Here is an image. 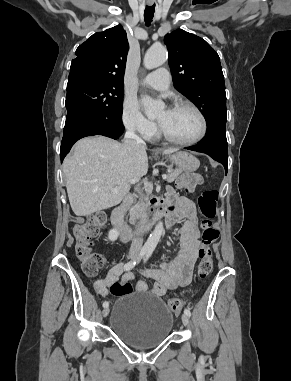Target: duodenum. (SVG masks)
<instances>
[{
	"label": "duodenum",
	"instance_id": "1",
	"mask_svg": "<svg viewBox=\"0 0 291 381\" xmlns=\"http://www.w3.org/2000/svg\"><path fill=\"white\" fill-rule=\"evenodd\" d=\"M132 202V196H125L121 204L113 210L111 216L113 226L119 233L123 242L130 241L135 235L139 236L146 233L151 226L167 212L164 201H151L145 209L143 220L139 228L134 230L126 223L124 219L125 212L130 207Z\"/></svg>",
	"mask_w": 291,
	"mask_h": 381
}]
</instances>
